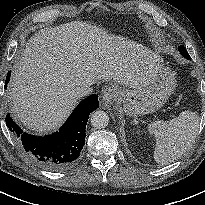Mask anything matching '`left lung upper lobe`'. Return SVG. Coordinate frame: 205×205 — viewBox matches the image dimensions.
<instances>
[{"label":"left lung upper lobe","instance_id":"obj_1","mask_svg":"<svg viewBox=\"0 0 205 205\" xmlns=\"http://www.w3.org/2000/svg\"><path fill=\"white\" fill-rule=\"evenodd\" d=\"M178 50L180 51V53L182 54V56H184L185 58H187L188 60H190V56L188 54V52L186 51V49L184 48L183 45L179 46Z\"/></svg>","mask_w":205,"mask_h":205}]
</instances>
